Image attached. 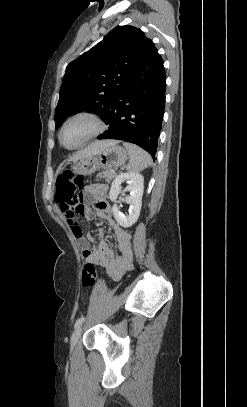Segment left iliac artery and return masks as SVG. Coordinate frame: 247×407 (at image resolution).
Returning <instances> with one entry per match:
<instances>
[{
    "label": "left iliac artery",
    "mask_w": 247,
    "mask_h": 407,
    "mask_svg": "<svg viewBox=\"0 0 247 407\" xmlns=\"http://www.w3.org/2000/svg\"><path fill=\"white\" fill-rule=\"evenodd\" d=\"M84 320H85V317H81V318L77 319L74 327L77 328L78 326H80L84 322Z\"/></svg>",
    "instance_id": "left-iliac-artery-1"
}]
</instances>
